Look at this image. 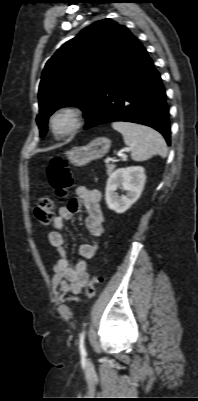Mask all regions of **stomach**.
<instances>
[{
  "mask_svg": "<svg viewBox=\"0 0 198 401\" xmlns=\"http://www.w3.org/2000/svg\"><path fill=\"white\" fill-rule=\"evenodd\" d=\"M111 147V140L107 137H97L89 144L73 147L65 153L67 159L75 166H83L92 160L103 157Z\"/></svg>",
  "mask_w": 198,
  "mask_h": 401,
  "instance_id": "1",
  "label": "stomach"
}]
</instances>
